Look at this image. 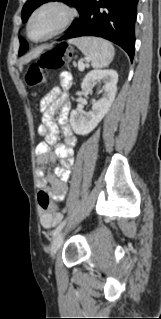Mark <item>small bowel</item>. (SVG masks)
Instances as JSON below:
<instances>
[{"label": "small bowel", "instance_id": "small-bowel-1", "mask_svg": "<svg viewBox=\"0 0 161 319\" xmlns=\"http://www.w3.org/2000/svg\"><path fill=\"white\" fill-rule=\"evenodd\" d=\"M59 86L52 88L42 99L40 110L42 112V124L38 128V133L44 140L36 146V154L40 163H54L57 158L62 160V166L56 167L52 172L45 174L38 171V185L45 189L51 198L57 202L65 200L70 178V170L73 167V150L77 145V137L68 124L70 113L69 93L70 75L61 72L58 76ZM58 114V123L54 121V116ZM63 135L64 143L58 144L55 151L51 150V145L58 141L60 134ZM63 214L59 211L42 212L40 222L43 228L52 229L62 219Z\"/></svg>", "mask_w": 161, "mask_h": 319}]
</instances>
